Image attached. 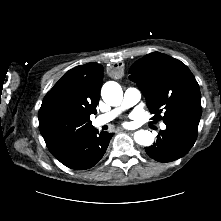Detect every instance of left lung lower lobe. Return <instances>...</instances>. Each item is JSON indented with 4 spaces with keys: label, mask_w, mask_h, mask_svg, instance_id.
<instances>
[{
    "label": "left lung lower lobe",
    "mask_w": 221,
    "mask_h": 221,
    "mask_svg": "<svg viewBox=\"0 0 221 221\" xmlns=\"http://www.w3.org/2000/svg\"><path fill=\"white\" fill-rule=\"evenodd\" d=\"M199 121L200 117L166 121V130L160 131L156 143L145 148L146 153L158 162H171L185 156L196 141Z\"/></svg>",
    "instance_id": "left-lung-lower-lobe-1"
}]
</instances>
